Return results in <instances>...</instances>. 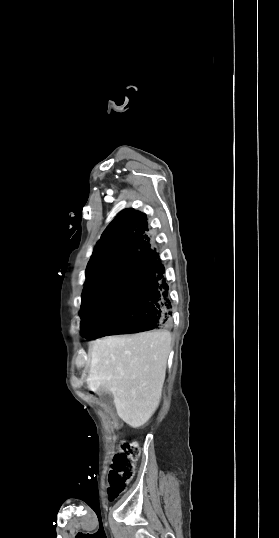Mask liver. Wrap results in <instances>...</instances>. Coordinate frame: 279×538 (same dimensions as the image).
Wrapping results in <instances>:
<instances>
[{
  "label": "liver",
  "mask_w": 279,
  "mask_h": 538,
  "mask_svg": "<svg viewBox=\"0 0 279 538\" xmlns=\"http://www.w3.org/2000/svg\"><path fill=\"white\" fill-rule=\"evenodd\" d=\"M168 330L107 336L93 342L88 382L112 394L119 418L140 428L156 412L171 350Z\"/></svg>",
  "instance_id": "obj_1"
}]
</instances>
